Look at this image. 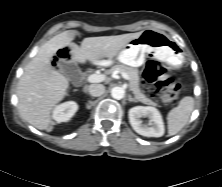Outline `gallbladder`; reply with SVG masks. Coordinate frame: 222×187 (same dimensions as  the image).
<instances>
[{
	"label": "gallbladder",
	"mask_w": 222,
	"mask_h": 187,
	"mask_svg": "<svg viewBox=\"0 0 222 187\" xmlns=\"http://www.w3.org/2000/svg\"><path fill=\"white\" fill-rule=\"evenodd\" d=\"M57 66L62 74H64L73 84L78 85L82 79V72L73 61L59 59Z\"/></svg>",
	"instance_id": "bac80fb5"
}]
</instances>
